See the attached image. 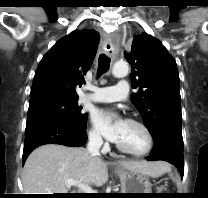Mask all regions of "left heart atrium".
Segmentation results:
<instances>
[{
  "mask_svg": "<svg viewBox=\"0 0 208 198\" xmlns=\"http://www.w3.org/2000/svg\"><path fill=\"white\" fill-rule=\"evenodd\" d=\"M95 127L110 141L117 142L126 121L113 119L112 113L97 110L92 115Z\"/></svg>",
  "mask_w": 208,
  "mask_h": 198,
  "instance_id": "left-heart-atrium-1",
  "label": "left heart atrium"
}]
</instances>
